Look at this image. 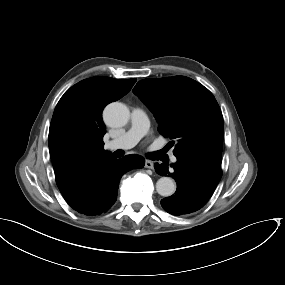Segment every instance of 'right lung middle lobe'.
Here are the masks:
<instances>
[{
  "instance_id": "1",
  "label": "right lung middle lobe",
  "mask_w": 285,
  "mask_h": 285,
  "mask_svg": "<svg viewBox=\"0 0 285 285\" xmlns=\"http://www.w3.org/2000/svg\"><path fill=\"white\" fill-rule=\"evenodd\" d=\"M66 137L76 146L85 145V140L78 135L72 133H66Z\"/></svg>"
}]
</instances>
